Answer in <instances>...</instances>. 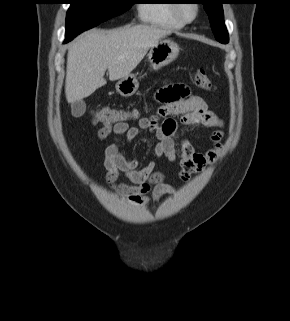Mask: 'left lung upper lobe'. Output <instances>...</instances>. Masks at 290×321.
Listing matches in <instances>:
<instances>
[{
  "label": "left lung upper lobe",
  "mask_w": 290,
  "mask_h": 321,
  "mask_svg": "<svg viewBox=\"0 0 290 321\" xmlns=\"http://www.w3.org/2000/svg\"><path fill=\"white\" fill-rule=\"evenodd\" d=\"M204 8L209 16L212 31L215 38L221 43L228 42V33L224 24L222 0H202Z\"/></svg>",
  "instance_id": "obj_1"
}]
</instances>
